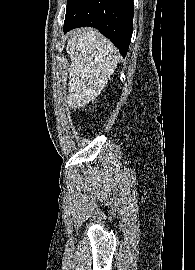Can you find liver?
<instances>
[{"label":"liver","instance_id":"1","mask_svg":"<svg viewBox=\"0 0 195 270\" xmlns=\"http://www.w3.org/2000/svg\"><path fill=\"white\" fill-rule=\"evenodd\" d=\"M66 51L70 107H83L98 97L111 79L120 60L117 49L93 28H78L68 33Z\"/></svg>","mask_w":195,"mask_h":270}]
</instances>
